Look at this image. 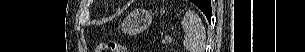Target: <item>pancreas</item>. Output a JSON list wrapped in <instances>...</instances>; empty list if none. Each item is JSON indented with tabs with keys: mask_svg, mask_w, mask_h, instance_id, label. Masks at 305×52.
<instances>
[{
	"mask_svg": "<svg viewBox=\"0 0 305 52\" xmlns=\"http://www.w3.org/2000/svg\"><path fill=\"white\" fill-rule=\"evenodd\" d=\"M164 41H165V42H169V43H171V42H172V38H171V37L166 36Z\"/></svg>",
	"mask_w": 305,
	"mask_h": 52,
	"instance_id": "pancreas-1",
	"label": "pancreas"
}]
</instances>
